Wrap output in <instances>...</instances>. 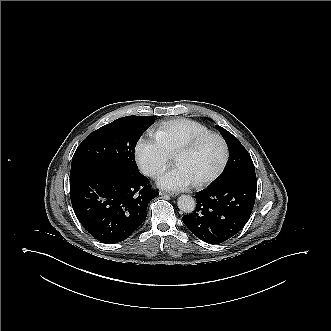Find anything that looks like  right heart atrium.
Returning <instances> with one entry per match:
<instances>
[{
	"mask_svg": "<svg viewBox=\"0 0 331 331\" xmlns=\"http://www.w3.org/2000/svg\"><path fill=\"white\" fill-rule=\"evenodd\" d=\"M135 159L140 170L149 176L162 172L168 164V155L157 141L140 139L135 152Z\"/></svg>",
	"mask_w": 331,
	"mask_h": 331,
	"instance_id": "right-heart-atrium-1",
	"label": "right heart atrium"
}]
</instances>
